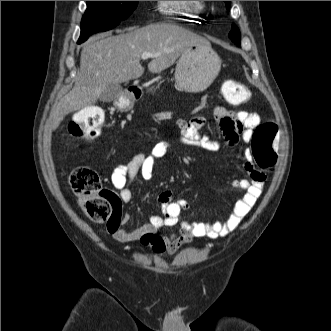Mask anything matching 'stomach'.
<instances>
[{"mask_svg": "<svg viewBox=\"0 0 331 331\" xmlns=\"http://www.w3.org/2000/svg\"><path fill=\"white\" fill-rule=\"evenodd\" d=\"M221 60L210 43H198L187 48L180 56L175 69V82L181 91L197 93L204 91L217 77ZM133 101L123 96L117 107L128 110Z\"/></svg>", "mask_w": 331, "mask_h": 331, "instance_id": "0dacf381", "label": "stomach"}]
</instances>
